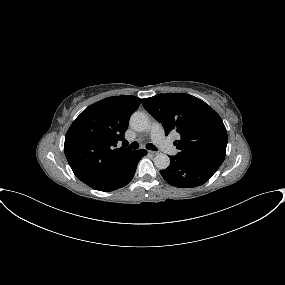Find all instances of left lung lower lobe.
<instances>
[{
  "label": "left lung lower lobe",
  "mask_w": 285,
  "mask_h": 285,
  "mask_svg": "<svg viewBox=\"0 0 285 285\" xmlns=\"http://www.w3.org/2000/svg\"><path fill=\"white\" fill-rule=\"evenodd\" d=\"M170 160L169 167L160 171V174L170 185L179 188L200 186L207 182L219 168L214 164L186 160L177 156H171Z\"/></svg>",
  "instance_id": "obj_1"
}]
</instances>
